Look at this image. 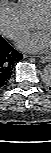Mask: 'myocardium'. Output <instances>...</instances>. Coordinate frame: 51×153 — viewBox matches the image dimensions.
I'll return each instance as SVG.
<instances>
[{"instance_id": "myocardium-1", "label": "myocardium", "mask_w": 51, "mask_h": 153, "mask_svg": "<svg viewBox=\"0 0 51 153\" xmlns=\"http://www.w3.org/2000/svg\"><path fill=\"white\" fill-rule=\"evenodd\" d=\"M46 18L51 19V6H49L37 15L34 20V24L38 27L39 23Z\"/></svg>"}]
</instances>
